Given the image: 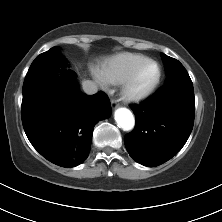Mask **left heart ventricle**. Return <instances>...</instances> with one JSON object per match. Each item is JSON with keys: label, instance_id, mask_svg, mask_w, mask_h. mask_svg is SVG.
Listing matches in <instances>:
<instances>
[{"label": "left heart ventricle", "instance_id": "left-heart-ventricle-1", "mask_svg": "<svg viewBox=\"0 0 222 222\" xmlns=\"http://www.w3.org/2000/svg\"><path fill=\"white\" fill-rule=\"evenodd\" d=\"M156 68L154 65H147L140 73L136 84L134 86L135 91L140 92L144 90L155 78Z\"/></svg>", "mask_w": 222, "mask_h": 222}]
</instances>
